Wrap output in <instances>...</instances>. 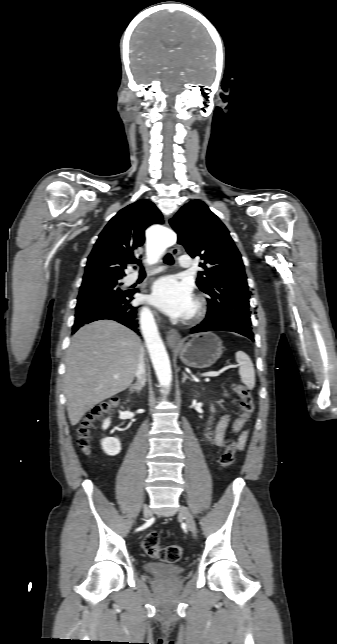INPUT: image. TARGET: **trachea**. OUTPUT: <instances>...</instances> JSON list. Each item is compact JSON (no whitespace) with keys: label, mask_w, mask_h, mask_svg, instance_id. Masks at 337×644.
Listing matches in <instances>:
<instances>
[{"label":"trachea","mask_w":337,"mask_h":644,"mask_svg":"<svg viewBox=\"0 0 337 644\" xmlns=\"http://www.w3.org/2000/svg\"><path fill=\"white\" fill-rule=\"evenodd\" d=\"M164 262H165V263H167V264H173V263H174V259H173L172 255L167 254V255L165 256V258H164ZM133 263H136V264L140 265L141 269H143V268H144V267H143V264H142V262H141L140 260H135Z\"/></svg>","instance_id":"obj_1"}]
</instances>
